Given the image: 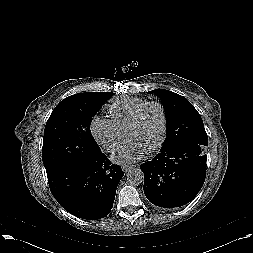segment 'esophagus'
I'll return each instance as SVG.
<instances>
[{"label":"esophagus","mask_w":253,"mask_h":253,"mask_svg":"<svg viewBox=\"0 0 253 253\" xmlns=\"http://www.w3.org/2000/svg\"><path fill=\"white\" fill-rule=\"evenodd\" d=\"M134 167V165H123L122 166V170L124 172H128L130 169H132Z\"/></svg>","instance_id":"1"}]
</instances>
